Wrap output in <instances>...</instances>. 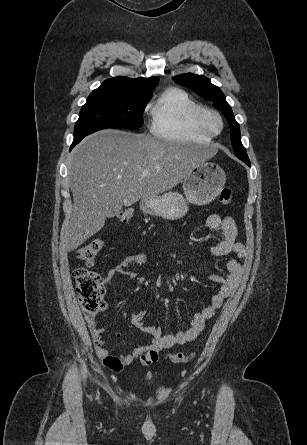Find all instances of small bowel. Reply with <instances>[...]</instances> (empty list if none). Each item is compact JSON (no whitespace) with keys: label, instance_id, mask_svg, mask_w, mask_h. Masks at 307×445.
Segmentation results:
<instances>
[{"label":"small bowel","instance_id":"obj_1","mask_svg":"<svg viewBox=\"0 0 307 445\" xmlns=\"http://www.w3.org/2000/svg\"><path fill=\"white\" fill-rule=\"evenodd\" d=\"M206 226L214 236V244L210 249L213 257H224L229 254H235L239 258L244 255V246L236 241L238 230L234 219L230 216L221 217L218 214H210L206 218ZM151 263L146 254L137 253L125 256L118 264L109 269L105 274L103 283L110 282L120 275L134 278L136 273L131 270L133 266H145ZM225 274H210V279L219 284L220 288L212 296L210 304L196 313L190 326L186 331L176 334L163 335L157 326H147L143 323L146 315L145 311H138L131 315V324L138 330L151 336L152 341L144 346L135 347L130 353L124 355H112L105 347L103 340L104 330L97 327L94 318L88 320L92 341L94 343L97 356L103 364L115 371H121L123 367L134 362L136 358L140 359L142 365H150L158 360V353L163 349H169L176 345L195 340L202 332L205 322L213 317L215 311L219 309L223 302L231 295L241 272V264L236 259H228L224 264Z\"/></svg>","mask_w":307,"mask_h":445}]
</instances>
